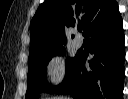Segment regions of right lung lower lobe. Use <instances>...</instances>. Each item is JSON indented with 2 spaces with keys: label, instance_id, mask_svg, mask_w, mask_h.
<instances>
[{
  "label": "right lung lower lobe",
  "instance_id": "right-lung-lower-lobe-1",
  "mask_svg": "<svg viewBox=\"0 0 128 99\" xmlns=\"http://www.w3.org/2000/svg\"><path fill=\"white\" fill-rule=\"evenodd\" d=\"M94 57L85 67L88 53H78L66 81L56 91L75 99H122L124 83V33L118 4L85 34Z\"/></svg>",
  "mask_w": 128,
  "mask_h": 99
}]
</instances>
